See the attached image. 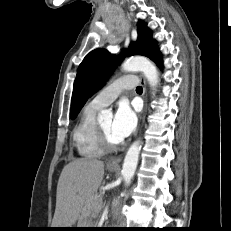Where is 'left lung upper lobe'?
<instances>
[{
    "label": "left lung upper lobe",
    "instance_id": "left-lung-upper-lobe-1",
    "mask_svg": "<svg viewBox=\"0 0 231 231\" xmlns=\"http://www.w3.org/2000/svg\"><path fill=\"white\" fill-rule=\"evenodd\" d=\"M137 32V41L123 50L119 59L104 48L95 49L85 56L74 81L71 119L76 118L87 99L102 87L119 60L131 55H143L151 59L158 51L157 42L152 39V32L144 21H138Z\"/></svg>",
    "mask_w": 231,
    "mask_h": 231
}]
</instances>
